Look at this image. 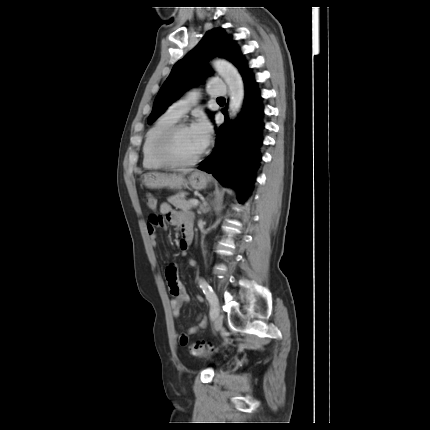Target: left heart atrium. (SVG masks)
<instances>
[{
	"mask_svg": "<svg viewBox=\"0 0 430 430\" xmlns=\"http://www.w3.org/2000/svg\"><path fill=\"white\" fill-rule=\"evenodd\" d=\"M191 130L199 143L200 147L204 150L211 139L212 127L205 117H200L192 126Z\"/></svg>",
	"mask_w": 430,
	"mask_h": 430,
	"instance_id": "obj_1",
	"label": "left heart atrium"
}]
</instances>
